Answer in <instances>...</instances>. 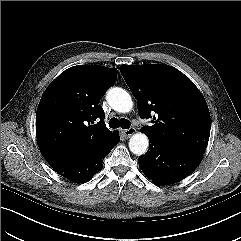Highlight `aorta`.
I'll return each instance as SVG.
<instances>
[{
	"label": "aorta",
	"mask_w": 241,
	"mask_h": 241,
	"mask_svg": "<svg viewBox=\"0 0 241 241\" xmlns=\"http://www.w3.org/2000/svg\"><path fill=\"white\" fill-rule=\"evenodd\" d=\"M106 99L111 108L120 113H128L133 107V101L130 94L120 87L109 89ZM148 145L149 140L144 133H136L129 140V149L136 155L145 154Z\"/></svg>",
	"instance_id": "762f6f07"
}]
</instances>
